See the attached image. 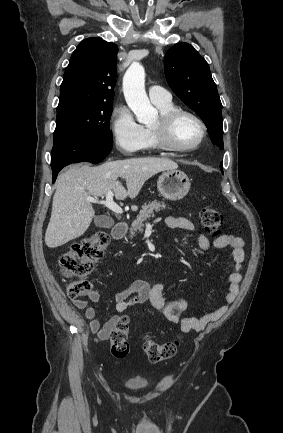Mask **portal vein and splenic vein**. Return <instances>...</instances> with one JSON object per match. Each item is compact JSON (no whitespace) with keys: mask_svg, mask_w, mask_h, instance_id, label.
Returning <instances> with one entry per match:
<instances>
[{"mask_svg":"<svg viewBox=\"0 0 283 433\" xmlns=\"http://www.w3.org/2000/svg\"><path fill=\"white\" fill-rule=\"evenodd\" d=\"M113 196V190H108L106 194V200H96V198H93V196H88L87 200H89V202H97V204H105V206L110 208V210H114V212L121 214V212H123V208L114 202Z\"/></svg>","mask_w":283,"mask_h":433,"instance_id":"18ae733b","label":"portal vein and splenic vein"}]
</instances>
